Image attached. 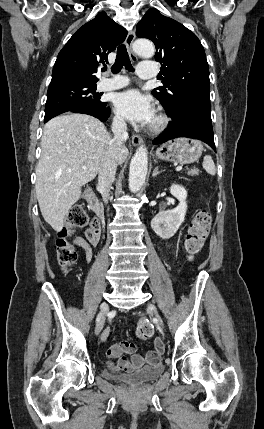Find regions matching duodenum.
<instances>
[{"label": "duodenum", "mask_w": 264, "mask_h": 429, "mask_svg": "<svg viewBox=\"0 0 264 429\" xmlns=\"http://www.w3.org/2000/svg\"><path fill=\"white\" fill-rule=\"evenodd\" d=\"M85 199L89 208L95 213L97 220H100L102 217V207L99 199L91 188L85 191Z\"/></svg>", "instance_id": "obj_1"}]
</instances>
